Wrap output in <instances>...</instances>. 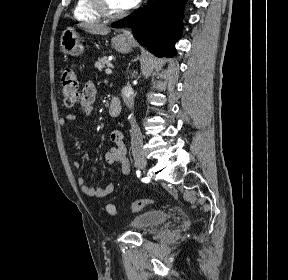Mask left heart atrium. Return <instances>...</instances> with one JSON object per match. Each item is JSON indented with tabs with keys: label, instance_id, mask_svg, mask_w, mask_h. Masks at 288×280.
Returning <instances> with one entry per match:
<instances>
[{
	"label": "left heart atrium",
	"instance_id": "39dd6f15",
	"mask_svg": "<svg viewBox=\"0 0 288 280\" xmlns=\"http://www.w3.org/2000/svg\"><path fill=\"white\" fill-rule=\"evenodd\" d=\"M139 0H118L122 10L132 8Z\"/></svg>",
	"mask_w": 288,
	"mask_h": 280
}]
</instances>
